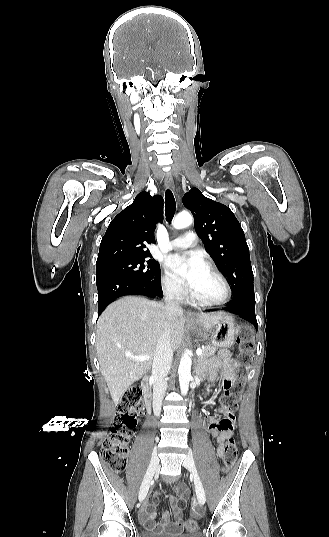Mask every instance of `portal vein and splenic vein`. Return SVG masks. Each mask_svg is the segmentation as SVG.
<instances>
[{
    "label": "portal vein and splenic vein",
    "mask_w": 329,
    "mask_h": 537,
    "mask_svg": "<svg viewBox=\"0 0 329 537\" xmlns=\"http://www.w3.org/2000/svg\"><path fill=\"white\" fill-rule=\"evenodd\" d=\"M196 354H197V356L202 355V349H200V348L197 349ZM125 355H126V357H128V358H130L132 360H135L136 362H143V361H146V360L150 359L149 355L134 356V355H132L130 353H126Z\"/></svg>",
    "instance_id": "obj_1"
}]
</instances>
